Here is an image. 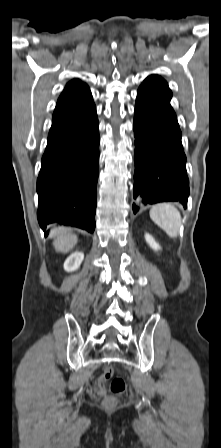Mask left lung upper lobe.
Listing matches in <instances>:
<instances>
[{
  "label": "left lung upper lobe",
  "instance_id": "left-lung-upper-lobe-1",
  "mask_svg": "<svg viewBox=\"0 0 221 448\" xmlns=\"http://www.w3.org/2000/svg\"><path fill=\"white\" fill-rule=\"evenodd\" d=\"M140 87L151 90L166 97H172V92L169 89L167 82L158 75L148 76Z\"/></svg>",
  "mask_w": 221,
  "mask_h": 448
}]
</instances>
